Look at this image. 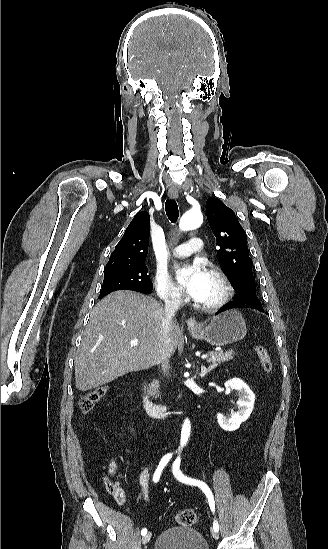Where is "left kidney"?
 <instances>
[{"label":"left kidney","mask_w":328,"mask_h":549,"mask_svg":"<svg viewBox=\"0 0 328 549\" xmlns=\"http://www.w3.org/2000/svg\"><path fill=\"white\" fill-rule=\"evenodd\" d=\"M225 387L226 395L231 391H239V399L236 401L238 411L230 417H224L222 413H218L217 421L224 431H236V429H239V425L250 417L254 407L255 395L241 379H230V381H226Z\"/></svg>","instance_id":"obj_1"}]
</instances>
